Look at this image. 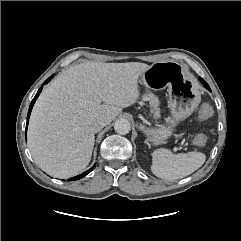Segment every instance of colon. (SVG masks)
Returning a JSON list of instances; mask_svg holds the SVG:
<instances>
[{
    "instance_id": "obj_1",
    "label": "colon",
    "mask_w": 241,
    "mask_h": 241,
    "mask_svg": "<svg viewBox=\"0 0 241 241\" xmlns=\"http://www.w3.org/2000/svg\"><path fill=\"white\" fill-rule=\"evenodd\" d=\"M213 115V109L210 105L208 104H204L202 105L197 113V118L201 121H205L207 119H209L210 117H212ZM207 142V138L205 135L203 134H199L194 138V143L197 146H204Z\"/></svg>"
}]
</instances>
